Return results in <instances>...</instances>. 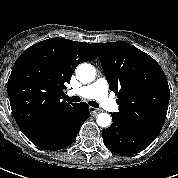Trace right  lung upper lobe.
<instances>
[{
    "label": "right lung upper lobe",
    "instance_id": "obj_1",
    "mask_svg": "<svg viewBox=\"0 0 178 178\" xmlns=\"http://www.w3.org/2000/svg\"><path fill=\"white\" fill-rule=\"evenodd\" d=\"M97 55L89 43L50 38L26 49L7 83L13 116L23 133L68 117L76 106L62 100V89L77 65Z\"/></svg>",
    "mask_w": 178,
    "mask_h": 178
}]
</instances>
